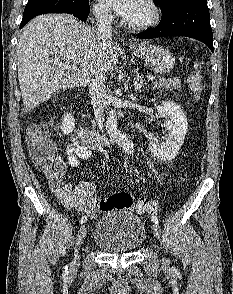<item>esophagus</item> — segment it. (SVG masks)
<instances>
[{
	"label": "esophagus",
	"instance_id": "34e87169",
	"mask_svg": "<svg viewBox=\"0 0 233 294\" xmlns=\"http://www.w3.org/2000/svg\"><path fill=\"white\" fill-rule=\"evenodd\" d=\"M128 45H129V46H133V43L129 42Z\"/></svg>",
	"mask_w": 233,
	"mask_h": 294
}]
</instances>
